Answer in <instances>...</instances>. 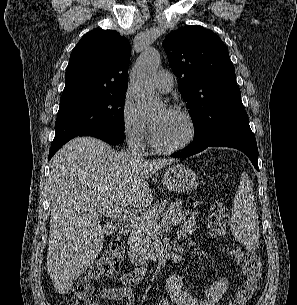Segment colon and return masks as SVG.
Wrapping results in <instances>:
<instances>
[{
  "mask_svg": "<svg viewBox=\"0 0 297 305\" xmlns=\"http://www.w3.org/2000/svg\"><path fill=\"white\" fill-rule=\"evenodd\" d=\"M229 221V210L223 202H216L211 207L207 226L210 234L215 238L224 236ZM230 257L238 264L244 277L238 287L236 296L229 305H248L258 289L262 278V264L259 257L242 247H227ZM123 243L119 238L109 243L90 267L88 273L77 279L67 294L68 305H97V298L93 287L94 281H100L116 274L123 262Z\"/></svg>",
  "mask_w": 297,
  "mask_h": 305,
  "instance_id": "1",
  "label": "colon"
}]
</instances>
